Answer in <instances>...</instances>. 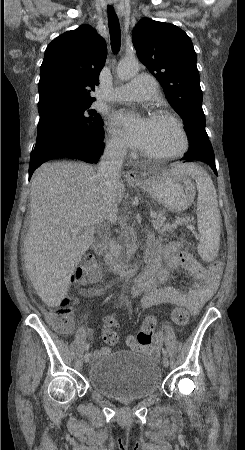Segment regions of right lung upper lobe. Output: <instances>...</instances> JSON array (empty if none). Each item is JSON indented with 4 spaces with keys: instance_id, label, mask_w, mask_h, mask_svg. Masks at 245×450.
Segmentation results:
<instances>
[{
    "instance_id": "obj_1",
    "label": "right lung upper lobe",
    "mask_w": 245,
    "mask_h": 450,
    "mask_svg": "<svg viewBox=\"0 0 245 450\" xmlns=\"http://www.w3.org/2000/svg\"><path fill=\"white\" fill-rule=\"evenodd\" d=\"M106 60L105 40L81 25L54 39L40 69L38 109L57 104L91 105Z\"/></svg>"
}]
</instances>
